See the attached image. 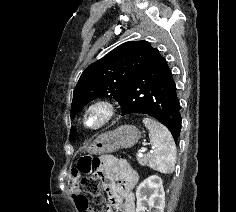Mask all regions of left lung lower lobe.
Returning a JSON list of instances; mask_svg holds the SVG:
<instances>
[{
  "instance_id": "obj_1",
  "label": "left lung lower lobe",
  "mask_w": 236,
  "mask_h": 212,
  "mask_svg": "<svg viewBox=\"0 0 236 212\" xmlns=\"http://www.w3.org/2000/svg\"><path fill=\"white\" fill-rule=\"evenodd\" d=\"M122 114H146L163 123L177 142L181 115L177 89L165 58L149 47L122 99Z\"/></svg>"
}]
</instances>
